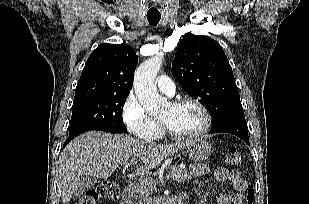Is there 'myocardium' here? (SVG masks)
I'll use <instances>...</instances> for the list:
<instances>
[{"instance_id": "obj_1", "label": "myocardium", "mask_w": 309, "mask_h": 204, "mask_svg": "<svg viewBox=\"0 0 309 204\" xmlns=\"http://www.w3.org/2000/svg\"><path fill=\"white\" fill-rule=\"evenodd\" d=\"M170 104L173 107H179L184 104H193L200 109L203 115L202 127L198 131L191 133V134L176 133L172 129H170V127L163 120L159 119L163 132L167 134L170 138L175 139V140H191V139L199 138L208 132L211 126V116H210L209 110L202 102L192 97H184V98L173 100Z\"/></svg>"}]
</instances>
